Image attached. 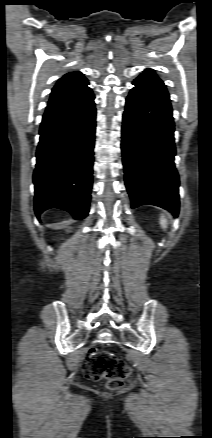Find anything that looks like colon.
<instances>
[{"mask_svg":"<svg viewBox=\"0 0 212 438\" xmlns=\"http://www.w3.org/2000/svg\"><path fill=\"white\" fill-rule=\"evenodd\" d=\"M83 372L90 380H106L110 389L122 387L131 376V369L123 359L95 348L88 352L83 364Z\"/></svg>","mask_w":212,"mask_h":438,"instance_id":"5ec220e1","label":"colon"}]
</instances>
